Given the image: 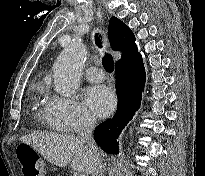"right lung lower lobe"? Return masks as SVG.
I'll list each match as a JSON object with an SVG mask.
<instances>
[{"label": "right lung lower lobe", "instance_id": "1", "mask_svg": "<svg viewBox=\"0 0 205 176\" xmlns=\"http://www.w3.org/2000/svg\"><path fill=\"white\" fill-rule=\"evenodd\" d=\"M145 80V69L140 54L123 64L116 65L117 111L113 118L94 130V140L105 152L118 153L116 139L140 107Z\"/></svg>", "mask_w": 205, "mask_h": 176}]
</instances>
